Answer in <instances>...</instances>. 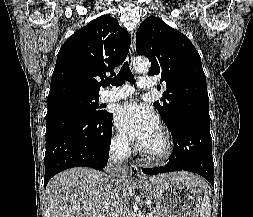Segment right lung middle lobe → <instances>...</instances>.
<instances>
[{
    "label": "right lung middle lobe",
    "mask_w": 253,
    "mask_h": 217,
    "mask_svg": "<svg viewBox=\"0 0 253 217\" xmlns=\"http://www.w3.org/2000/svg\"><path fill=\"white\" fill-rule=\"evenodd\" d=\"M73 113L91 117H102L107 114L106 111L101 110L98 97H69L48 102L46 120Z\"/></svg>",
    "instance_id": "right-lung-middle-lobe-1"
}]
</instances>
